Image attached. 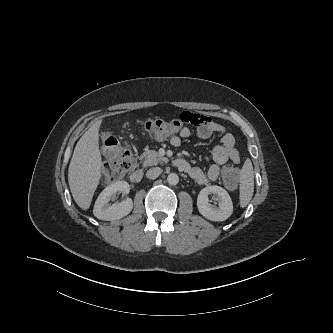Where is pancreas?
Masks as SVG:
<instances>
[{
    "instance_id": "pancreas-1",
    "label": "pancreas",
    "mask_w": 333,
    "mask_h": 333,
    "mask_svg": "<svg viewBox=\"0 0 333 333\" xmlns=\"http://www.w3.org/2000/svg\"><path fill=\"white\" fill-rule=\"evenodd\" d=\"M140 159L143 160V166H153L162 162H167L168 159L166 157L161 156L158 152L154 150H147L144 152Z\"/></svg>"
}]
</instances>
